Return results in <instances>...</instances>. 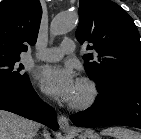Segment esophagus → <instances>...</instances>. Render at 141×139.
Segmentation results:
<instances>
[{"instance_id":"34e87169","label":"esophagus","mask_w":141,"mask_h":139,"mask_svg":"<svg viewBox=\"0 0 141 139\" xmlns=\"http://www.w3.org/2000/svg\"><path fill=\"white\" fill-rule=\"evenodd\" d=\"M58 123H59L60 129L63 132H70V131L73 130V128L71 127V125L69 123L68 118L66 116H64V115H59L58 116Z\"/></svg>"}]
</instances>
